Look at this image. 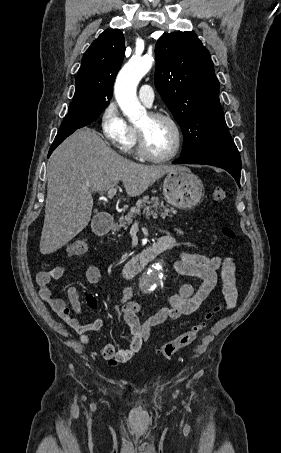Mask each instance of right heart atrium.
I'll return each instance as SVG.
<instances>
[{"mask_svg":"<svg viewBox=\"0 0 281 453\" xmlns=\"http://www.w3.org/2000/svg\"><path fill=\"white\" fill-rule=\"evenodd\" d=\"M115 93L124 100H128L130 94V85L127 80L115 83ZM118 102V100H117ZM100 126L104 136L113 144L120 145L128 133V124L121 114L117 103L110 102L102 111L100 117ZM109 157L111 161L118 166L120 163V156L115 152H110Z\"/></svg>","mask_w":281,"mask_h":453,"instance_id":"d8ad5b80","label":"right heart atrium"}]
</instances>
